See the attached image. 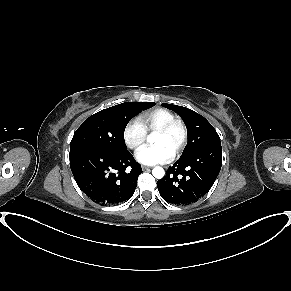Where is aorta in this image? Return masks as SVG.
I'll list each match as a JSON object with an SVG mask.
<instances>
[{"label": "aorta", "mask_w": 291, "mask_h": 291, "mask_svg": "<svg viewBox=\"0 0 291 291\" xmlns=\"http://www.w3.org/2000/svg\"><path fill=\"white\" fill-rule=\"evenodd\" d=\"M148 141H151V137H149V136H148ZM152 174L155 178L161 179L164 177L165 171L162 167L157 166V167L153 168Z\"/></svg>", "instance_id": "obj_1"}]
</instances>
